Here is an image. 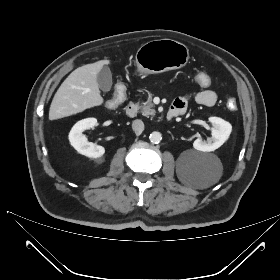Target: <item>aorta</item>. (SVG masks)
Wrapping results in <instances>:
<instances>
[{
    "instance_id": "aorta-1",
    "label": "aorta",
    "mask_w": 280,
    "mask_h": 280,
    "mask_svg": "<svg viewBox=\"0 0 280 280\" xmlns=\"http://www.w3.org/2000/svg\"><path fill=\"white\" fill-rule=\"evenodd\" d=\"M149 139L151 143L157 144L162 140V135L158 131H154L150 134Z\"/></svg>"
}]
</instances>
